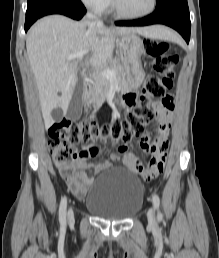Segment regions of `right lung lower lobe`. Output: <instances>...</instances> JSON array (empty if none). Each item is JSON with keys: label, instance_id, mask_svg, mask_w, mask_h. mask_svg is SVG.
<instances>
[{"label": "right lung lower lobe", "instance_id": "98d812e1", "mask_svg": "<svg viewBox=\"0 0 219 258\" xmlns=\"http://www.w3.org/2000/svg\"><path fill=\"white\" fill-rule=\"evenodd\" d=\"M86 9L79 0H47L26 12L25 31L39 18L50 14H62L80 20Z\"/></svg>", "mask_w": 219, "mask_h": 258}]
</instances>
